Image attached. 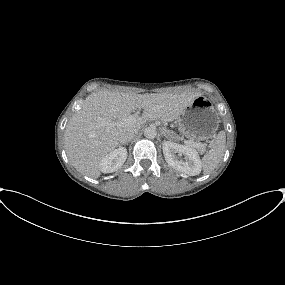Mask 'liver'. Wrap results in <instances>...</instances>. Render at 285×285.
Returning <instances> with one entry per match:
<instances>
[{
	"label": "liver",
	"instance_id": "obj_1",
	"mask_svg": "<svg viewBox=\"0 0 285 285\" xmlns=\"http://www.w3.org/2000/svg\"><path fill=\"white\" fill-rule=\"evenodd\" d=\"M198 92L136 94L118 91L91 93L69 120L64 133L66 154L74 168L91 178L101 175L100 162L119 145L124 129L138 132L147 121L163 123L178 118L198 96ZM144 109L133 123L122 126H102V121L129 117L136 109Z\"/></svg>",
	"mask_w": 285,
	"mask_h": 285
}]
</instances>
